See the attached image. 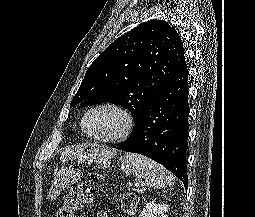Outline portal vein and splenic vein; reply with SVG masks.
Wrapping results in <instances>:
<instances>
[{"label":"portal vein and splenic vein","mask_w":255,"mask_h":217,"mask_svg":"<svg viewBox=\"0 0 255 217\" xmlns=\"http://www.w3.org/2000/svg\"><path fill=\"white\" fill-rule=\"evenodd\" d=\"M132 190H133V191H138V192L141 191V192H142V191H145V188H142V189H140V190H139V189L133 188Z\"/></svg>","instance_id":"1"}]
</instances>
